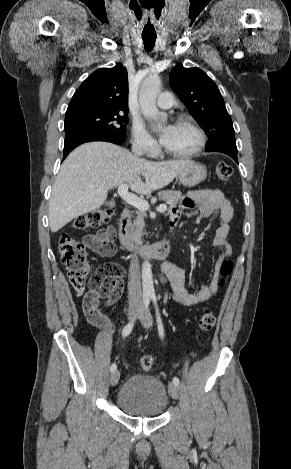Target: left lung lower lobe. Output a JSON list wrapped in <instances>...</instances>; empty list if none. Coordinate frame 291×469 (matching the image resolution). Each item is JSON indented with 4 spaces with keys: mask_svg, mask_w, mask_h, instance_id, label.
Masks as SVG:
<instances>
[{
    "mask_svg": "<svg viewBox=\"0 0 291 469\" xmlns=\"http://www.w3.org/2000/svg\"><path fill=\"white\" fill-rule=\"evenodd\" d=\"M206 151L207 152L216 151V152L225 153V154L229 155L230 157H232L238 163V160H237V147L222 146V147H218V148H214V149H206Z\"/></svg>",
    "mask_w": 291,
    "mask_h": 469,
    "instance_id": "0a47b994",
    "label": "left lung lower lobe"
}]
</instances>
